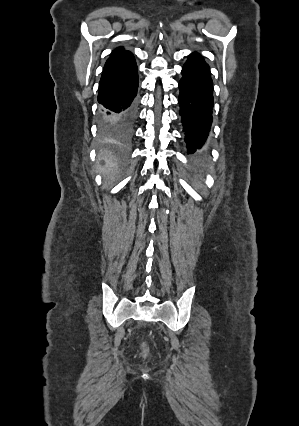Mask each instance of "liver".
Masks as SVG:
<instances>
[{
	"instance_id": "6515ba94",
	"label": "liver",
	"mask_w": 299,
	"mask_h": 426,
	"mask_svg": "<svg viewBox=\"0 0 299 426\" xmlns=\"http://www.w3.org/2000/svg\"><path fill=\"white\" fill-rule=\"evenodd\" d=\"M105 160H106V166H105V172L106 173H112L117 168V162L114 160L111 156V153L105 154Z\"/></svg>"
}]
</instances>
